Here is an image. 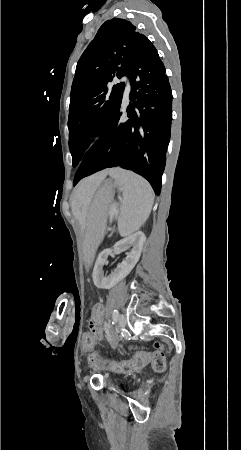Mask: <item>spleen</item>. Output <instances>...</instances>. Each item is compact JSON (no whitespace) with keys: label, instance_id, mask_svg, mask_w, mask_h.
I'll return each instance as SVG.
<instances>
[{"label":"spleen","instance_id":"1","mask_svg":"<svg viewBox=\"0 0 241 450\" xmlns=\"http://www.w3.org/2000/svg\"><path fill=\"white\" fill-rule=\"evenodd\" d=\"M109 176L115 180L123 192V206L118 218L119 234L130 236L148 220L155 194L147 180L129 170L112 168Z\"/></svg>","mask_w":241,"mask_h":450}]
</instances>
